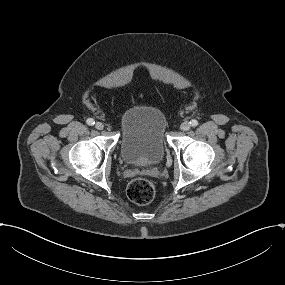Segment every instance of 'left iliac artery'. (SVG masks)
<instances>
[{"instance_id": "44dca946", "label": "left iliac artery", "mask_w": 285, "mask_h": 285, "mask_svg": "<svg viewBox=\"0 0 285 285\" xmlns=\"http://www.w3.org/2000/svg\"><path fill=\"white\" fill-rule=\"evenodd\" d=\"M191 126L196 127L198 125V121L196 119H192L190 121Z\"/></svg>"}]
</instances>
